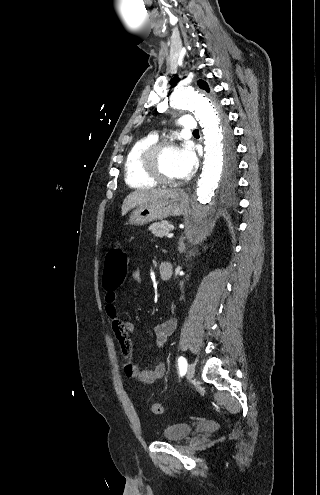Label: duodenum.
<instances>
[{
    "label": "duodenum",
    "mask_w": 320,
    "mask_h": 495,
    "mask_svg": "<svg viewBox=\"0 0 320 495\" xmlns=\"http://www.w3.org/2000/svg\"><path fill=\"white\" fill-rule=\"evenodd\" d=\"M161 280L164 282L169 281L173 276V265L169 261H163L159 267Z\"/></svg>",
    "instance_id": "obj_1"
}]
</instances>
